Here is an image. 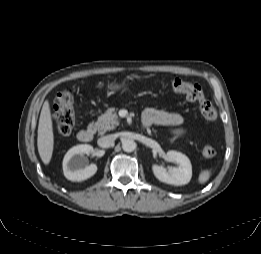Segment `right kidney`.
I'll list each match as a JSON object with an SVG mask.
<instances>
[{
  "mask_svg": "<svg viewBox=\"0 0 261 254\" xmlns=\"http://www.w3.org/2000/svg\"><path fill=\"white\" fill-rule=\"evenodd\" d=\"M93 152V147L88 144H81L72 147L65 154L63 159L64 176L71 181H83L97 172V166L90 164L85 166L86 158Z\"/></svg>",
  "mask_w": 261,
  "mask_h": 254,
  "instance_id": "right-kidney-1",
  "label": "right kidney"
}]
</instances>
